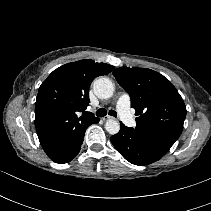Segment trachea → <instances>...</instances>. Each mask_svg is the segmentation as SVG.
Here are the masks:
<instances>
[{"instance_id":"1","label":"trachea","mask_w":211,"mask_h":211,"mask_svg":"<svg viewBox=\"0 0 211 211\" xmlns=\"http://www.w3.org/2000/svg\"><path fill=\"white\" fill-rule=\"evenodd\" d=\"M108 114L111 115V116L117 117V113L114 110H110L108 112ZM106 115H107V110L105 108H100L96 112V116H98V117H104Z\"/></svg>"}]
</instances>
